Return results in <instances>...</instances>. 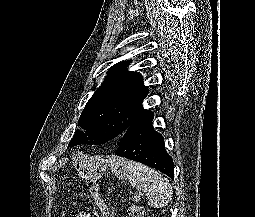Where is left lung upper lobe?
I'll return each instance as SVG.
<instances>
[{
  "instance_id": "5c2ea615",
  "label": "left lung upper lobe",
  "mask_w": 255,
  "mask_h": 217,
  "mask_svg": "<svg viewBox=\"0 0 255 217\" xmlns=\"http://www.w3.org/2000/svg\"><path fill=\"white\" fill-rule=\"evenodd\" d=\"M129 61L114 65L102 85L86 104L77 130L69 146L101 145L113 139L120 140L125 131L147 110L142 101L148 93L142 76L127 71Z\"/></svg>"
}]
</instances>
